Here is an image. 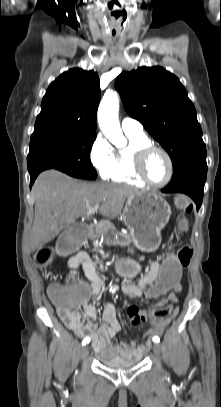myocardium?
Listing matches in <instances>:
<instances>
[{"label":"myocardium","mask_w":221,"mask_h":407,"mask_svg":"<svg viewBox=\"0 0 221 407\" xmlns=\"http://www.w3.org/2000/svg\"><path fill=\"white\" fill-rule=\"evenodd\" d=\"M153 152H160L162 153L168 163H169V174L168 177L162 181V182H154L152 181L146 172V162L148 157L153 153ZM133 166H134V171L136 175L147 185L152 186V187H163L166 186L173 178L174 172H175V166H174V161L170 153L163 147L154 145V144H149L146 146H143L139 149H137L134 152L133 155Z\"/></svg>","instance_id":"1"}]
</instances>
